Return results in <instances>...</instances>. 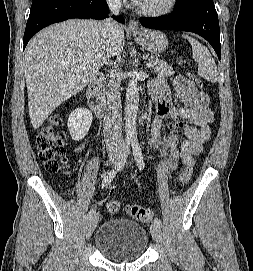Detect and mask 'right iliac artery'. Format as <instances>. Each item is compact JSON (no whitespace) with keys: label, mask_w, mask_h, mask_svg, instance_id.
<instances>
[{"label":"right iliac artery","mask_w":253,"mask_h":271,"mask_svg":"<svg viewBox=\"0 0 253 271\" xmlns=\"http://www.w3.org/2000/svg\"><path fill=\"white\" fill-rule=\"evenodd\" d=\"M129 145H130L129 142L125 143L123 151L120 154V157H119L118 161L116 162L115 167L104 177L102 184H101L102 189L104 187L110 185L111 182L113 181L115 175L117 174V172L123 169L125 162H126V159H127V156L129 154ZM94 214H95L94 209H91L87 214V219H90Z\"/></svg>","instance_id":"1"}]
</instances>
